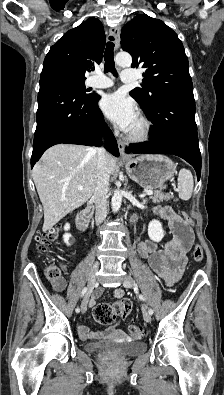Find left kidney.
<instances>
[{
  "instance_id": "5707ae66",
  "label": "left kidney",
  "mask_w": 224,
  "mask_h": 395,
  "mask_svg": "<svg viewBox=\"0 0 224 395\" xmlns=\"http://www.w3.org/2000/svg\"><path fill=\"white\" fill-rule=\"evenodd\" d=\"M165 233L162 224L158 220H152L148 225V236L154 242H160Z\"/></svg>"
}]
</instances>
